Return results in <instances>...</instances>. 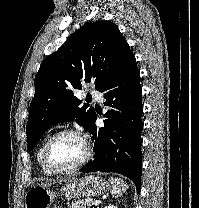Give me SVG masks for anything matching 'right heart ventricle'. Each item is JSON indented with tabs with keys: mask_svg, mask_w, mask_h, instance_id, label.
Segmentation results:
<instances>
[{
	"mask_svg": "<svg viewBox=\"0 0 199 208\" xmlns=\"http://www.w3.org/2000/svg\"><path fill=\"white\" fill-rule=\"evenodd\" d=\"M49 137L50 136L47 135L43 138V140L41 141V143L38 147L37 154H36L38 165H39L40 169L42 170V172L46 175H52L53 174V172L50 171L48 169V167L45 165V162H44V159H43V149H44L45 143H46V141L48 140Z\"/></svg>",
	"mask_w": 199,
	"mask_h": 208,
	"instance_id": "right-heart-ventricle-1",
	"label": "right heart ventricle"
}]
</instances>
